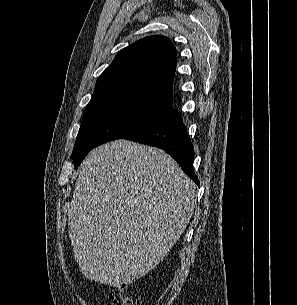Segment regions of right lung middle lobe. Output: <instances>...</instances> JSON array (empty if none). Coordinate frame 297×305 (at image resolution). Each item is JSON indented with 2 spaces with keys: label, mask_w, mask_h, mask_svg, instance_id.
Masks as SVG:
<instances>
[{
  "label": "right lung middle lobe",
  "mask_w": 297,
  "mask_h": 305,
  "mask_svg": "<svg viewBox=\"0 0 297 305\" xmlns=\"http://www.w3.org/2000/svg\"><path fill=\"white\" fill-rule=\"evenodd\" d=\"M86 108L72 152L75 169L93 148L125 138L173 109L169 103L145 97L114 98Z\"/></svg>",
  "instance_id": "obj_1"
}]
</instances>
